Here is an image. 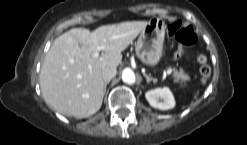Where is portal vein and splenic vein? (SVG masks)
Here are the masks:
<instances>
[{
	"mask_svg": "<svg viewBox=\"0 0 247 145\" xmlns=\"http://www.w3.org/2000/svg\"><path fill=\"white\" fill-rule=\"evenodd\" d=\"M102 49H103L102 46H98V47L96 48V50L94 51V53L92 54V57H94V58L99 57V52H100Z\"/></svg>",
	"mask_w": 247,
	"mask_h": 145,
	"instance_id": "1",
	"label": "portal vein and splenic vein"
}]
</instances>
